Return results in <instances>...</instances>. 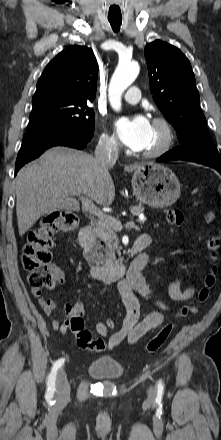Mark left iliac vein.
Instances as JSON below:
<instances>
[{"mask_svg":"<svg viewBox=\"0 0 221 440\" xmlns=\"http://www.w3.org/2000/svg\"><path fill=\"white\" fill-rule=\"evenodd\" d=\"M148 394H149V397H150V398H153L154 391H153L152 388H150V389L148 390Z\"/></svg>","mask_w":221,"mask_h":440,"instance_id":"4c4485c4","label":"left iliac vein"}]
</instances>
